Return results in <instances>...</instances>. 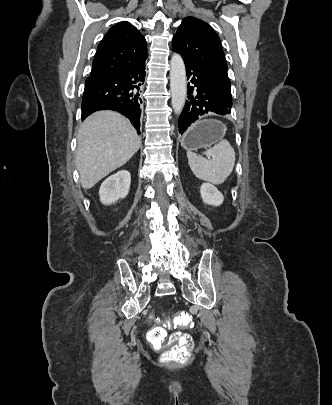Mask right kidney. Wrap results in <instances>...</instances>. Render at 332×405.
<instances>
[{
  "instance_id": "1",
  "label": "right kidney",
  "mask_w": 332,
  "mask_h": 405,
  "mask_svg": "<svg viewBox=\"0 0 332 405\" xmlns=\"http://www.w3.org/2000/svg\"><path fill=\"white\" fill-rule=\"evenodd\" d=\"M130 183L131 175L127 170H121L108 177L99 189L102 204L110 205L125 198L129 193Z\"/></svg>"
}]
</instances>
